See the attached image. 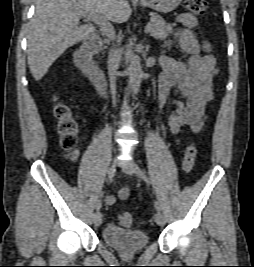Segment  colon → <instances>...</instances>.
Returning <instances> with one entry per match:
<instances>
[{
	"label": "colon",
	"mask_w": 254,
	"mask_h": 267,
	"mask_svg": "<svg viewBox=\"0 0 254 267\" xmlns=\"http://www.w3.org/2000/svg\"><path fill=\"white\" fill-rule=\"evenodd\" d=\"M185 7L189 13L201 16L207 10L206 0H185ZM52 113L57 122V131L60 137L62 148L67 151L71 158L78 156V123L75 120L71 107L62 101H55ZM198 153L197 146L191 142L185 149L182 168L185 172H190L194 166ZM119 222L122 226L133 225V217L130 213L124 212L119 215Z\"/></svg>",
	"instance_id": "5ec220e1"
}]
</instances>
